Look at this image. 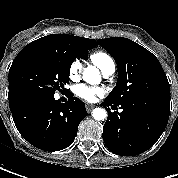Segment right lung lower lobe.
<instances>
[{"label": "right lung lower lobe", "mask_w": 178, "mask_h": 178, "mask_svg": "<svg viewBox=\"0 0 178 178\" xmlns=\"http://www.w3.org/2000/svg\"><path fill=\"white\" fill-rule=\"evenodd\" d=\"M9 105L20 134L36 148L51 152L71 145L87 115L85 104L72 96L61 103L54 95L16 93L9 95Z\"/></svg>", "instance_id": "right-lung-lower-lobe-1"}]
</instances>
